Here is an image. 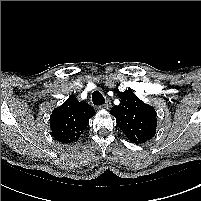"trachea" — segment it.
Instances as JSON below:
<instances>
[{
  "label": "trachea",
  "mask_w": 201,
  "mask_h": 201,
  "mask_svg": "<svg viewBox=\"0 0 201 201\" xmlns=\"http://www.w3.org/2000/svg\"><path fill=\"white\" fill-rule=\"evenodd\" d=\"M92 101L94 105H102L105 103V99L100 91L96 90L92 93Z\"/></svg>",
  "instance_id": "trachea-1"
}]
</instances>
